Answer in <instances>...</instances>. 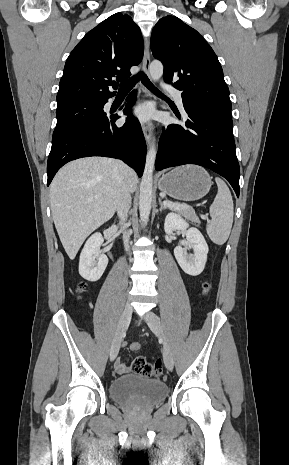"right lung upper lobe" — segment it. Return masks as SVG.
<instances>
[{
  "mask_svg": "<svg viewBox=\"0 0 289 465\" xmlns=\"http://www.w3.org/2000/svg\"><path fill=\"white\" fill-rule=\"evenodd\" d=\"M139 27L132 18L116 13L89 31L72 50L60 80L57 103L78 100H108L115 95L109 86L124 81L130 68L143 57ZM116 89L115 85H112Z\"/></svg>",
  "mask_w": 289,
  "mask_h": 465,
  "instance_id": "1",
  "label": "right lung upper lobe"
}]
</instances>
